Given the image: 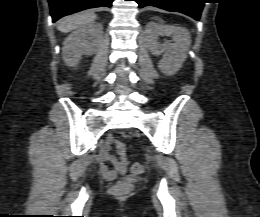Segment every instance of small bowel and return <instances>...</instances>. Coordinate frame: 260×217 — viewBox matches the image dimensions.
I'll return each mask as SVG.
<instances>
[{
    "mask_svg": "<svg viewBox=\"0 0 260 217\" xmlns=\"http://www.w3.org/2000/svg\"><path fill=\"white\" fill-rule=\"evenodd\" d=\"M113 144L115 145L117 156L110 153V148ZM99 159V170L108 180H113L118 175L124 174L129 164L125 145L121 141L114 139L112 136H108L104 145L100 148ZM103 161L109 162L111 166L108 167L103 163Z\"/></svg>",
    "mask_w": 260,
    "mask_h": 217,
    "instance_id": "small-bowel-1",
    "label": "small bowel"
}]
</instances>
